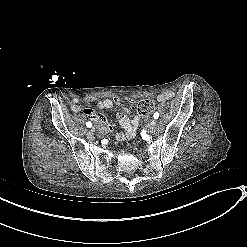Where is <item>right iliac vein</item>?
I'll list each match as a JSON object with an SVG mask.
<instances>
[{
    "instance_id": "1",
    "label": "right iliac vein",
    "mask_w": 247,
    "mask_h": 247,
    "mask_svg": "<svg viewBox=\"0 0 247 247\" xmlns=\"http://www.w3.org/2000/svg\"><path fill=\"white\" fill-rule=\"evenodd\" d=\"M91 131L92 132H95V127L94 126L91 128Z\"/></svg>"
}]
</instances>
